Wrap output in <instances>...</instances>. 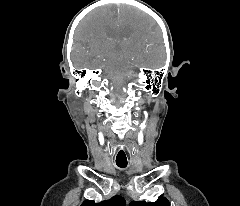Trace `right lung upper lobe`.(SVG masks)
Instances as JSON below:
<instances>
[{
  "label": "right lung upper lobe",
  "mask_w": 240,
  "mask_h": 206,
  "mask_svg": "<svg viewBox=\"0 0 240 206\" xmlns=\"http://www.w3.org/2000/svg\"><path fill=\"white\" fill-rule=\"evenodd\" d=\"M125 205V199L121 196H114L109 200H104L100 203H95L92 200H86L84 201L81 206H124Z\"/></svg>",
  "instance_id": "right-lung-upper-lobe-1"
}]
</instances>
